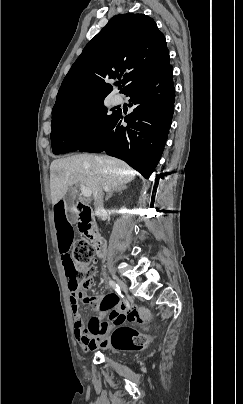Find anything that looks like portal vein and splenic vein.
I'll use <instances>...</instances> for the list:
<instances>
[{"mask_svg": "<svg viewBox=\"0 0 243 404\" xmlns=\"http://www.w3.org/2000/svg\"><path fill=\"white\" fill-rule=\"evenodd\" d=\"M81 192L83 196H85V198H88V196H91L92 194L90 188H87V186H83V184H81Z\"/></svg>", "mask_w": 243, "mask_h": 404, "instance_id": "1", "label": "portal vein and splenic vein"}]
</instances>
